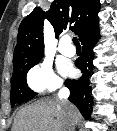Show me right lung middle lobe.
<instances>
[{"mask_svg": "<svg viewBox=\"0 0 117 131\" xmlns=\"http://www.w3.org/2000/svg\"><path fill=\"white\" fill-rule=\"evenodd\" d=\"M39 61L31 64L22 65L13 69L11 78V106L16 103H22L35 97L37 93L33 92L26 83V74L30 68L36 65Z\"/></svg>", "mask_w": 117, "mask_h": 131, "instance_id": "dd1d6c3e", "label": "right lung middle lobe"}]
</instances>
